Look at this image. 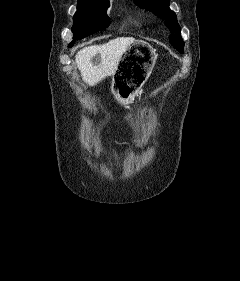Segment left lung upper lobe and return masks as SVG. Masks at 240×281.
<instances>
[{"mask_svg": "<svg viewBox=\"0 0 240 281\" xmlns=\"http://www.w3.org/2000/svg\"><path fill=\"white\" fill-rule=\"evenodd\" d=\"M142 8L153 12L156 16L166 21L170 29V43L180 52H184V42L181 38L180 26L177 23L175 13L169 8V0H134Z\"/></svg>", "mask_w": 240, "mask_h": 281, "instance_id": "1", "label": "left lung upper lobe"}]
</instances>
